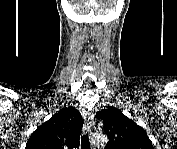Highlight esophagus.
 <instances>
[{
  "mask_svg": "<svg viewBox=\"0 0 177 149\" xmlns=\"http://www.w3.org/2000/svg\"><path fill=\"white\" fill-rule=\"evenodd\" d=\"M93 120H94L93 115L90 112L85 114L84 124H83V131L85 134L89 135L91 133V129L94 124Z\"/></svg>",
  "mask_w": 177,
  "mask_h": 149,
  "instance_id": "1",
  "label": "esophagus"
}]
</instances>
